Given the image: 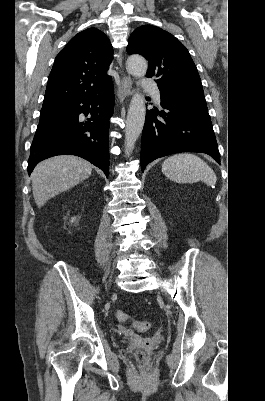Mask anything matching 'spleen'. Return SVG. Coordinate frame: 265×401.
<instances>
[{"label":"spleen","mask_w":265,"mask_h":401,"mask_svg":"<svg viewBox=\"0 0 265 401\" xmlns=\"http://www.w3.org/2000/svg\"><path fill=\"white\" fill-rule=\"evenodd\" d=\"M162 172L174 180V182H198L202 180L208 186L216 184L217 176L208 166L207 162L201 160L196 154H174L166 158L162 164Z\"/></svg>","instance_id":"spleen-1"}]
</instances>
